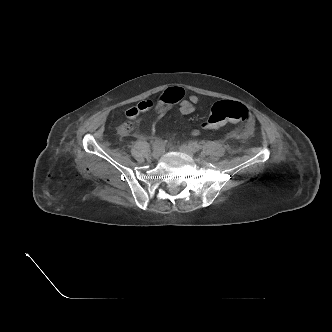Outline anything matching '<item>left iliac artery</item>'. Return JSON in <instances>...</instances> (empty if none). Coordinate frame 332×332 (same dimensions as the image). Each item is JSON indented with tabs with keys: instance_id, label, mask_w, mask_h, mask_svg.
Segmentation results:
<instances>
[{
	"instance_id": "left-iliac-artery-1",
	"label": "left iliac artery",
	"mask_w": 332,
	"mask_h": 332,
	"mask_svg": "<svg viewBox=\"0 0 332 332\" xmlns=\"http://www.w3.org/2000/svg\"><path fill=\"white\" fill-rule=\"evenodd\" d=\"M189 145L192 147L194 152H198L201 149V146L197 144L196 142H190Z\"/></svg>"
}]
</instances>
